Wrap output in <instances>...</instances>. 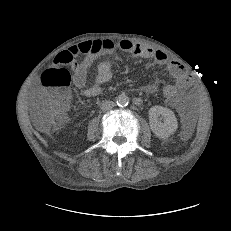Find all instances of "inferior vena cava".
I'll use <instances>...</instances> for the list:
<instances>
[{
    "label": "inferior vena cava",
    "mask_w": 231,
    "mask_h": 231,
    "mask_svg": "<svg viewBox=\"0 0 231 231\" xmlns=\"http://www.w3.org/2000/svg\"><path fill=\"white\" fill-rule=\"evenodd\" d=\"M115 103L113 101H104L102 104H101V109L103 111H107V110H111L113 107H114Z\"/></svg>",
    "instance_id": "obj_1"
}]
</instances>
